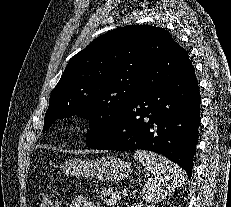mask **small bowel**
<instances>
[{
    "label": "small bowel",
    "instance_id": "obj_1",
    "mask_svg": "<svg viewBox=\"0 0 231 207\" xmlns=\"http://www.w3.org/2000/svg\"><path fill=\"white\" fill-rule=\"evenodd\" d=\"M69 207H96V205L94 202L90 201L89 199L85 197L76 196L71 201Z\"/></svg>",
    "mask_w": 231,
    "mask_h": 207
}]
</instances>
